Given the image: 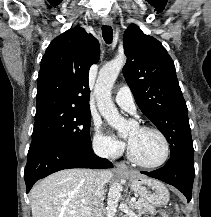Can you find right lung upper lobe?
I'll return each mask as SVG.
<instances>
[{
  "mask_svg": "<svg viewBox=\"0 0 211 217\" xmlns=\"http://www.w3.org/2000/svg\"><path fill=\"white\" fill-rule=\"evenodd\" d=\"M99 53L98 41L79 26L50 43L41 60L35 118L55 112L90 111L88 74Z\"/></svg>",
  "mask_w": 211,
  "mask_h": 217,
  "instance_id": "cb5924a9",
  "label": "right lung upper lobe"
}]
</instances>
